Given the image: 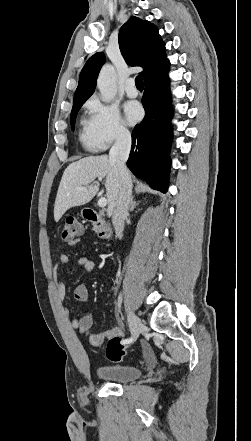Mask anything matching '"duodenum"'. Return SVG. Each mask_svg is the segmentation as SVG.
<instances>
[{
	"label": "duodenum",
	"mask_w": 251,
	"mask_h": 441,
	"mask_svg": "<svg viewBox=\"0 0 251 441\" xmlns=\"http://www.w3.org/2000/svg\"><path fill=\"white\" fill-rule=\"evenodd\" d=\"M83 216L95 227L99 238L103 240H109L111 238V226L102 218V216L98 212L93 209H85L83 211Z\"/></svg>",
	"instance_id": "duodenum-1"
}]
</instances>
